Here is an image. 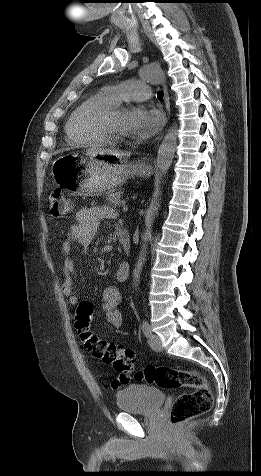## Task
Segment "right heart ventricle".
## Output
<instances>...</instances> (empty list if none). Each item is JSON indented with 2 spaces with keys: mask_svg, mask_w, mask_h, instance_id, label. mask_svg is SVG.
Wrapping results in <instances>:
<instances>
[{
  "mask_svg": "<svg viewBox=\"0 0 261 476\" xmlns=\"http://www.w3.org/2000/svg\"><path fill=\"white\" fill-rule=\"evenodd\" d=\"M117 103L106 91H100L82 101L69 115L65 132L68 142L77 147L104 144L108 139L90 125V116L97 110Z\"/></svg>",
  "mask_w": 261,
  "mask_h": 476,
  "instance_id": "1",
  "label": "right heart ventricle"
}]
</instances>
